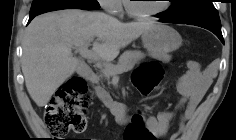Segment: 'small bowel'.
Masks as SVG:
<instances>
[{
    "label": "small bowel",
    "mask_w": 236,
    "mask_h": 140,
    "mask_svg": "<svg viewBox=\"0 0 236 140\" xmlns=\"http://www.w3.org/2000/svg\"><path fill=\"white\" fill-rule=\"evenodd\" d=\"M214 75L212 67L202 69L198 62L186 61V71L177 82V90L182 97L175 108L176 110L184 108V111L179 120V130L171 136L170 140H179L185 123L194 116L198 105L213 81ZM174 113L175 111H163L156 117L147 118V127L154 140L167 134Z\"/></svg>",
    "instance_id": "c3829d8e"
}]
</instances>
